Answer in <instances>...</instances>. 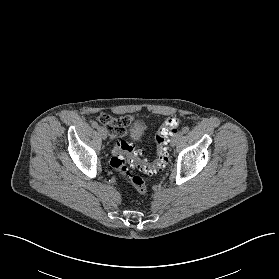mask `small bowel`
<instances>
[{
  "mask_svg": "<svg viewBox=\"0 0 279 279\" xmlns=\"http://www.w3.org/2000/svg\"><path fill=\"white\" fill-rule=\"evenodd\" d=\"M98 120L101 124L108 127L109 135L113 139L126 134L129 127L135 122V118L132 115H126L123 118L115 119L107 114H100Z\"/></svg>",
  "mask_w": 279,
  "mask_h": 279,
  "instance_id": "1",
  "label": "small bowel"
}]
</instances>
